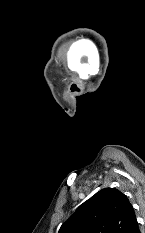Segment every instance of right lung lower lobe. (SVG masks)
<instances>
[{"mask_svg":"<svg viewBox=\"0 0 145 233\" xmlns=\"http://www.w3.org/2000/svg\"><path fill=\"white\" fill-rule=\"evenodd\" d=\"M131 233H140L138 223L135 225V227H134V229L132 230V232H131Z\"/></svg>","mask_w":145,"mask_h":233,"instance_id":"98d812e1","label":"right lung lower lobe"}]
</instances>
